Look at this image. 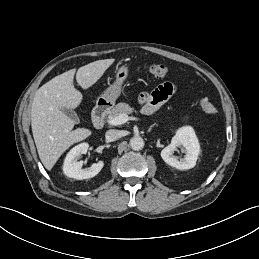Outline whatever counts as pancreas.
Here are the masks:
<instances>
[{"label":"pancreas","mask_w":259,"mask_h":259,"mask_svg":"<svg viewBox=\"0 0 259 259\" xmlns=\"http://www.w3.org/2000/svg\"><path fill=\"white\" fill-rule=\"evenodd\" d=\"M133 108H131L127 103H118L109 113L108 120L117 117L120 114H131L133 113Z\"/></svg>","instance_id":"pancreas-1"}]
</instances>
